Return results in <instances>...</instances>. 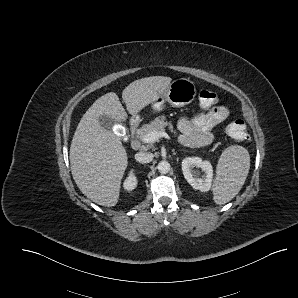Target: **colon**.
<instances>
[{
    "instance_id": "1",
    "label": "colon",
    "mask_w": 298,
    "mask_h": 298,
    "mask_svg": "<svg viewBox=\"0 0 298 298\" xmlns=\"http://www.w3.org/2000/svg\"><path fill=\"white\" fill-rule=\"evenodd\" d=\"M199 103L203 108H209L217 102V95L208 89H202L198 94ZM226 133L233 139L244 141L249 138V131L242 119L230 122L226 127Z\"/></svg>"
}]
</instances>
